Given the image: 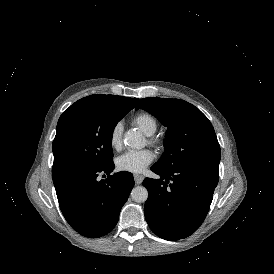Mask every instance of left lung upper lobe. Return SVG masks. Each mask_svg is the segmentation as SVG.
<instances>
[{
    "label": "left lung upper lobe",
    "mask_w": 274,
    "mask_h": 274,
    "mask_svg": "<svg viewBox=\"0 0 274 274\" xmlns=\"http://www.w3.org/2000/svg\"><path fill=\"white\" fill-rule=\"evenodd\" d=\"M139 108L167 127L165 151L156 165L167 169L192 164L219 168L221 150L214 128L198 108L184 100L154 97L140 99Z\"/></svg>",
    "instance_id": "left-lung-upper-lobe-1"
}]
</instances>
